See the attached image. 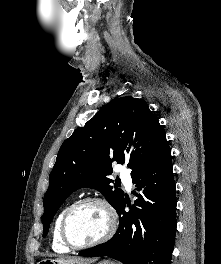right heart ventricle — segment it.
Masks as SVG:
<instances>
[{
    "instance_id": "e07e8e85",
    "label": "right heart ventricle",
    "mask_w": 221,
    "mask_h": 264,
    "mask_svg": "<svg viewBox=\"0 0 221 264\" xmlns=\"http://www.w3.org/2000/svg\"><path fill=\"white\" fill-rule=\"evenodd\" d=\"M67 207L61 210V212L58 214L53 230H52V239H51V244L52 248L54 251L58 253H66L70 249L62 242L61 236H60V225H61V220L63 217L64 212L66 211Z\"/></svg>"
}]
</instances>
